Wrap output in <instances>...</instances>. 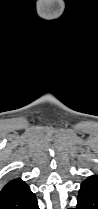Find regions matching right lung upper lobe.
Listing matches in <instances>:
<instances>
[{
    "instance_id": "right-lung-upper-lobe-1",
    "label": "right lung upper lobe",
    "mask_w": 98,
    "mask_h": 209,
    "mask_svg": "<svg viewBox=\"0 0 98 209\" xmlns=\"http://www.w3.org/2000/svg\"><path fill=\"white\" fill-rule=\"evenodd\" d=\"M27 185L20 178L10 180L1 190H0V205L6 202L10 197L17 194Z\"/></svg>"
}]
</instances>
